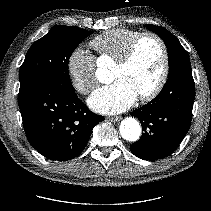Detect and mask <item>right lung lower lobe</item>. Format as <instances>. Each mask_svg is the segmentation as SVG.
Here are the masks:
<instances>
[{
    "instance_id": "98d812e1",
    "label": "right lung lower lobe",
    "mask_w": 211,
    "mask_h": 211,
    "mask_svg": "<svg viewBox=\"0 0 211 211\" xmlns=\"http://www.w3.org/2000/svg\"><path fill=\"white\" fill-rule=\"evenodd\" d=\"M19 108L29 143L44 157L67 161L85 148L103 116L92 113L73 87L41 80L19 90Z\"/></svg>"
}]
</instances>
